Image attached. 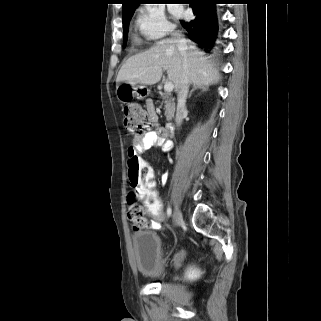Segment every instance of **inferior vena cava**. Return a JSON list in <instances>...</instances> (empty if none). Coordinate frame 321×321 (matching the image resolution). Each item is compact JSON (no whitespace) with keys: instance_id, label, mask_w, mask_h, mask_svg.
<instances>
[{"instance_id":"1","label":"inferior vena cava","mask_w":321,"mask_h":321,"mask_svg":"<svg viewBox=\"0 0 321 321\" xmlns=\"http://www.w3.org/2000/svg\"><path fill=\"white\" fill-rule=\"evenodd\" d=\"M172 35L177 37L178 50L180 51L183 59V71L178 89L177 110L175 117V124L177 127H180L186 113V99L190 84V74L188 69L186 40L182 38V35L179 32H174Z\"/></svg>"}]
</instances>
